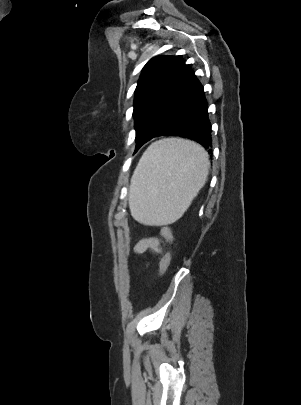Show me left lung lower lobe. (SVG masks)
<instances>
[{
  "mask_svg": "<svg viewBox=\"0 0 301 405\" xmlns=\"http://www.w3.org/2000/svg\"><path fill=\"white\" fill-rule=\"evenodd\" d=\"M160 136L188 138L212 153L208 106L203 86L193 71L182 96L172 106L159 128L151 135L138 140L135 152L147 141Z\"/></svg>",
  "mask_w": 301,
  "mask_h": 405,
  "instance_id": "1",
  "label": "left lung lower lobe"
}]
</instances>
